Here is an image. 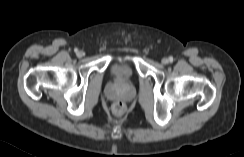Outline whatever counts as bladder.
Segmentation results:
<instances>
[{"instance_id": "1", "label": "bladder", "mask_w": 244, "mask_h": 157, "mask_svg": "<svg viewBox=\"0 0 244 157\" xmlns=\"http://www.w3.org/2000/svg\"><path fill=\"white\" fill-rule=\"evenodd\" d=\"M109 75L115 83L127 84L133 80L135 70L129 63L113 62L109 67Z\"/></svg>"}]
</instances>
